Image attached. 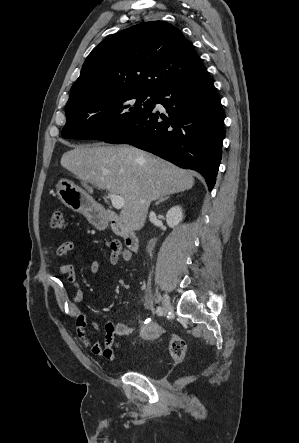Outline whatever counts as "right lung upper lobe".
<instances>
[{
  "instance_id": "cb5924a9",
  "label": "right lung upper lobe",
  "mask_w": 299,
  "mask_h": 443,
  "mask_svg": "<svg viewBox=\"0 0 299 443\" xmlns=\"http://www.w3.org/2000/svg\"><path fill=\"white\" fill-rule=\"evenodd\" d=\"M203 69L177 27L164 21L141 23L107 37L92 50L67 104L113 92L156 93Z\"/></svg>"
}]
</instances>
